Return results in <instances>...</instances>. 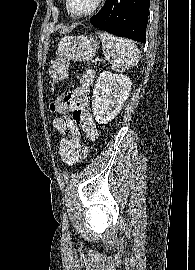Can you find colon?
Here are the masks:
<instances>
[{"instance_id": "5ec220e1", "label": "colon", "mask_w": 195, "mask_h": 270, "mask_svg": "<svg viewBox=\"0 0 195 270\" xmlns=\"http://www.w3.org/2000/svg\"><path fill=\"white\" fill-rule=\"evenodd\" d=\"M74 99L72 91L64 93L57 97L50 105V111L53 113H58L59 111H64L70 107ZM88 148L82 146L79 153L80 161H83L87 158Z\"/></svg>"}]
</instances>
